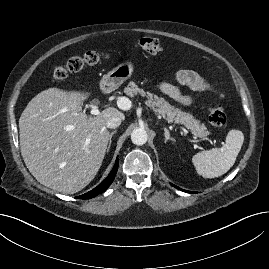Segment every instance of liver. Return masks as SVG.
I'll list each match as a JSON object with an SVG mask.
<instances>
[{"label":"liver","instance_id":"1","mask_svg":"<svg viewBox=\"0 0 269 269\" xmlns=\"http://www.w3.org/2000/svg\"><path fill=\"white\" fill-rule=\"evenodd\" d=\"M89 95L49 88L28 103L19 119L28 170L38 182L64 194H74L94 179L110 138L107 120L125 118L115 107L88 117L82 103Z\"/></svg>","mask_w":269,"mask_h":269}]
</instances>
